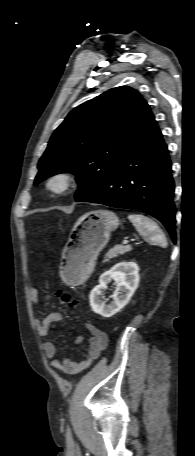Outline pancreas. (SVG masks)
Returning a JSON list of instances; mask_svg holds the SVG:
<instances>
[{"instance_id": "1", "label": "pancreas", "mask_w": 195, "mask_h": 456, "mask_svg": "<svg viewBox=\"0 0 195 456\" xmlns=\"http://www.w3.org/2000/svg\"><path fill=\"white\" fill-rule=\"evenodd\" d=\"M130 250H131L130 246H122V245L116 246V247L110 249L106 253L105 259L103 262H109L111 259L117 257L118 255H123L124 253H126Z\"/></svg>"}]
</instances>
